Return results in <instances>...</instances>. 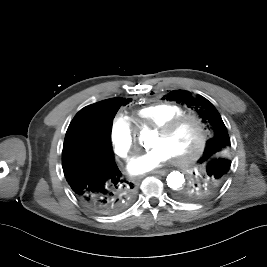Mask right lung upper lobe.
<instances>
[{"instance_id":"obj_1","label":"right lung upper lobe","mask_w":267,"mask_h":267,"mask_svg":"<svg viewBox=\"0 0 267 267\" xmlns=\"http://www.w3.org/2000/svg\"><path fill=\"white\" fill-rule=\"evenodd\" d=\"M129 101H130L129 99L111 98V99L103 100L98 103L89 105L77 113V115L72 120V123L75 124L77 121L85 117L88 119H100L101 118V120L103 121L102 130L103 132H107L108 128L105 126L104 116H103L105 108L108 105L113 104V103L127 104Z\"/></svg>"}]
</instances>
